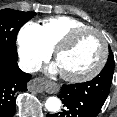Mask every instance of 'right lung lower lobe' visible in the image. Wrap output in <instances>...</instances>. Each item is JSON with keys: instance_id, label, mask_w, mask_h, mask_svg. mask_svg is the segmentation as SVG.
Here are the masks:
<instances>
[{"instance_id": "98d812e1", "label": "right lung lower lobe", "mask_w": 117, "mask_h": 117, "mask_svg": "<svg viewBox=\"0 0 117 117\" xmlns=\"http://www.w3.org/2000/svg\"><path fill=\"white\" fill-rule=\"evenodd\" d=\"M31 74L21 71L17 60H9L0 55V117H12L16 94L27 91Z\"/></svg>"}]
</instances>
